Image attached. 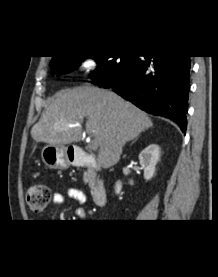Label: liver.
<instances>
[{
    "label": "liver",
    "instance_id": "1",
    "mask_svg": "<svg viewBox=\"0 0 218 277\" xmlns=\"http://www.w3.org/2000/svg\"><path fill=\"white\" fill-rule=\"evenodd\" d=\"M86 121V132L98 143V163L115 165L124 145L153 126L152 120L117 94L98 87H77L56 93L31 129L36 142L64 146L79 142L82 130L70 124Z\"/></svg>",
    "mask_w": 218,
    "mask_h": 277
}]
</instances>
